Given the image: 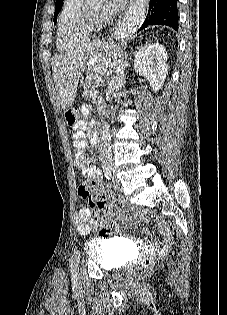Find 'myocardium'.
Here are the masks:
<instances>
[{"mask_svg":"<svg viewBox=\"0 0 227 315\" xmlns=\"http://www.w3.org/2000/svg\"><path fill=\"white\" fill-rule=\"evenodd\" d=\"M104 24V18L99 15H95L90 12L87 2H84L80 8L77 21L75 23V28L77 31L86 32L92 31L96 32Z\"/></svg>","mask_w":227,"mask_h":315,"instance_id":"myocardium-1","label":"myocardium"}]
</instances>
